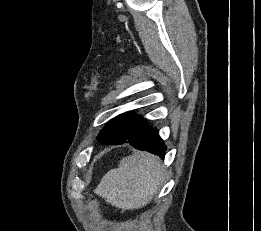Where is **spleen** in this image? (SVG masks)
I'll return each mask as SVG.
<instances>
[{
    "label": "spleen",
    "mask_w": 261,
    "mask_h": 231,
    "mask_svg": "<svg viewBox=\"0 0 261 231\" xmlns=\"http://www.w3.org/2000/svg\"><path fill=\"white\" fill-rule=\"evenodd\" d=\"M164 177L165 167L159 158L136 152L108 171L95 193L122 210L138 209L149 203Z\"/></svg>",
    "instance_id": "3e777b00"
}]
</instances>
